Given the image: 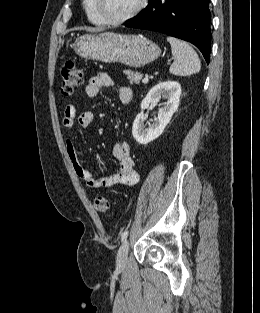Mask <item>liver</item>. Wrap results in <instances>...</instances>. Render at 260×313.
<instances>
[{
	"instance_id": "obj_1",
	"label": "liver",
	"mask_w": 260,
	"mask_h": 313,
	"mask_svg": "<svg viewBox=\"0 0 260 313\" xmlns=\"http://www.w3.org/2000/svg\"><path fill=\"white\" fill-rule=\"evenodd\" d=\"M90 31H98V30H100V29H89Z\"/></svg>"
}]
</instances>
